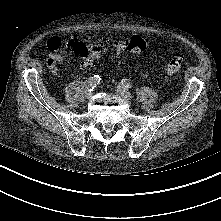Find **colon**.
I'll return each mask as SVG.
<instances>
[{
    "instance_id": "obj_1",
    "label": "colon",
    "mask_w": 221,
    "mask_h": 221,
    "mask_svg": "<svg viewBox=\"0 0 221 221\" xmlns=\"http://www.w3.org/2000/svg\"><path fill=\"white\" fill-rule=\"evenodd\" d=\"M113 47L117 53L126 51L129 53L140 54L148 50L147 42L139 37L132 36L130 38L116 41L113 43ZM102 55V48L100 45H93L88 49L82 51L81 58L83 59L84 66H90L94 64ZM183 64V56L176 55L168 63L166 67V74L168 76L177 75Z\"/></svg>"
}]
</instances>
